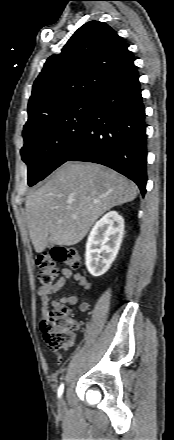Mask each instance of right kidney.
I'll return each mask as SVG.
<instances>
[{"label": "right kidney", "instance_id": "1", "mask_svg": "<svg viewBox=\"0 0 174 440\" xmlns=\"http://www.w3.org/2000/svg\"><path fill=\"white\" fill-rule=\"evenodd\" d=\"M124 219L116 211L106 213L93 226L86 243L85 264L92 276L103 275L120 249Z\"/></svg>", "mask_w": 174, "mask_h": 440}]
</instances>
